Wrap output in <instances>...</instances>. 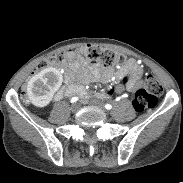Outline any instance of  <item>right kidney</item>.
<instances>
[{"mask_svg":"<svg viewBox=\"0 0 183 183\" xmlns=\"http://www.w3.org/2000/svg\"><path fill=\"white\" fill-rule=\"evenodd\" d=\"M62 83V75L55 68H46L33 76L27 85V94L31 103L36 107L47 106L54 92Z\"/></svg>","mask_w":183,"mask_h":183,"instance_id":"obj_1","label":"right kidney"}]
</instances>
